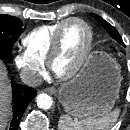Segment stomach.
<instances>
[{"mask_svg": "<svg viewBox=\"0 0 130 130\" xmlns=\"http://www.w3.org/2000/svg\"><path fill=\"white\" fill-rule=\"evenodd\" d=\"M121 81L116 60L96 51L79 74L60 88L58 98L68 114L76 118H97L113 108Z\"/></svg>", "mask_w": 130, "mask_h": 130, "instance_id": "0dacf381", "label": "stomach"}]
</instances>
